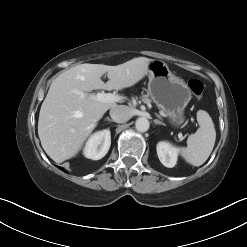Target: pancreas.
Instances as JSON below:
<instances>
[{
    "mask_svg": "<svg viewBox=\"0 0 247 247\" xmlns=\"http://www.w3.org/2000/svg\"><path fill=\"white\" fill-rule=\"evenodd\" d=\"M142 101L145 103H150V99L147 96H143Z\"/></svg>",
    "mask_w": 247,
    "mask_h": 247,
    "instance_id": "1",
    "label": "pancreas"
}]
</instances>
